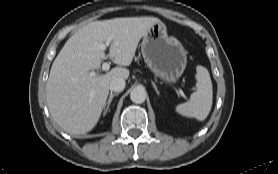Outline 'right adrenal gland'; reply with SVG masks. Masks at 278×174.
<instances>
[{"label":"right adrenal gland","instance_id":"right-adrenal-gland-1","mask_svg":"<svg viewBox=\"0 0 278 174\" xmlns=\"http://www.w3.org/2000/svg\"><path fill=\"white\" fill-rule=\"evenodd\" d=\"M119 94V92H117V93H110V96H109V99H108V101H107V103L105 104V107H104V113H103V115H105L108 111H110L109 110V107H110V104H111V102H112V99L114 98V96H117Z\"/></svg>","mask_w":278,"mask_h":174}]
</instances>
